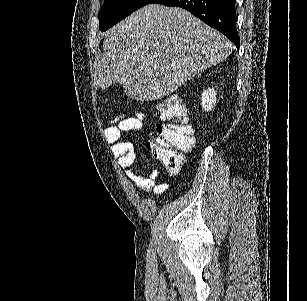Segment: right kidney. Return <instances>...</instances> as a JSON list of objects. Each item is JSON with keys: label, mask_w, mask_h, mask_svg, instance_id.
<instances>
[{"label": "right kidney", "mask_w": 307, "mask_h": 301, "mask_svg": "<svg viewBox=\"0 0 307 301\" xmlns=\"http://www.w3.org/2000/svg\"><path fill=\"white\" fill-rule=\"evenodd\" d=\"M217 92L214 86H207L205 90H203L201 94V106L202 110H206V112H210L216 106L217 102Z\"/></svg>", "instance_id": "1"}]
</instances>
